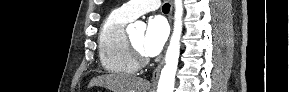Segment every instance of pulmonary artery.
I'll return each mask as SVG.
<instances>
[{
  "label": "pulmonary artery",
  "instance_id": "obj_1",
  "mask_svg": "<svg viewBox=\"0 0 289 92\" xmlns=\"http://www.w3.org/2000/svg\"><path fill=\"white\" fill-rule=\"evenodd\" d=\"M159 6V0H132L122 5L118 10L126 17L135 19L146 12L158 9Z\"/></svg>",
  "mask_w": 289,
  "mask_h": 92
}]
</instances>
